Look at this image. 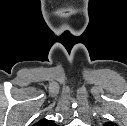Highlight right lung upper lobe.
<instances>
[{"mask_svg":"<svg viewBox=\"0 0 127 126\" xmlns=\"http://www.w3.org/2000/svg\"><path fill=\"white\" fill-rule=\"evenodd\" d=\"M33 126H56V124L50 120L41 119L37 123H35Z\"/></svg>","mask_w":127,"mask_h":126,"instance_id":"1","label":"right lung upper lobe"}]
</instances>
